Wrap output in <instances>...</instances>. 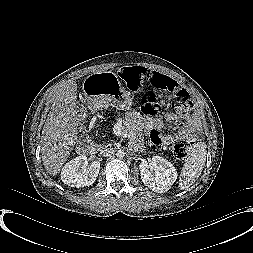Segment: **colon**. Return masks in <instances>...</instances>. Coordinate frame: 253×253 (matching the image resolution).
Returning a JSON list of instances; mask_svg holds the SVG:
<instances>
[{
    "instance_id": "5ec220e1",
    "label": "colon",
    "mask_w": 253,
    "mask_h": 253,
    "mask_svg": "<svg viewBox=\"0 0 253 253\" xmlns=\"http://www.w3.org/2000/svg\"><path fill=\"white\" fill-rule=\"evenodd\" d=\"M120 76L126 83L127 88L133 93H143V111L149 116H156L162 107L158 98L160 91L171 95V104L174 106L188 107L191 98L183 89L171 87L160 75L155 74L139 66L124 67ZM193 133L187 132L175 139L172 152L177 160H183L188 155L193 144Z\"/></svg>"
}]
</instances>
